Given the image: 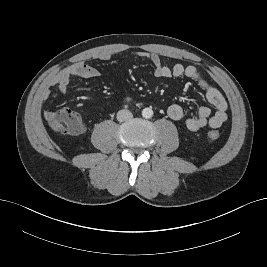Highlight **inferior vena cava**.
Instances as JSON below:
<instances>
[{"label": "inferior vena cava", "instance_id": "obj_1", "mask_svg": "<svg viewBox=\"0 0 267 267\" xmlns=\"http://www.w3.org/2000/svg\"><path fill=\"white\" fill-rule=\"evenodd\" d=\"M133 117L132 113L127 109H122L117 113V120L119 122L127 121Z\"/></svg>", "mask_w": 267, "mask_h": 267}]
</instances>
